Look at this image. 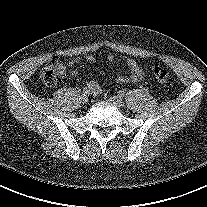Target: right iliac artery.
<instances>
[{
  "label": "right iliac artery",
  "mask_w": 207,
  "mask_h": 207,
  "mask_svg": "<svg viewBox=\"0 0 207 207\" xmlns=\"http://www.w3.org/2000/svg\"><path fill=\"white\" fill-rule=\"evenodd\" d=\"M83 94L84 95H88V94H90V90L86 87V88H84L83 89Z\"/></svg>",
  "instance_id": "obj_1"
}]
</instances>
